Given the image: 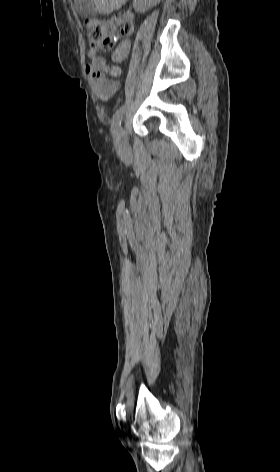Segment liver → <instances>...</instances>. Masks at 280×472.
<instances>
[{
	"label": "liver",
	"instance_id": "6515ba94",
	"mask_svg": "<svg viewBox=\"0 0 280 472\" xmlns=\"http://www.w3.org/2000/svg\"><path fill=\"white\" fill-rule=\"evenodd\" d=\"M127 0H93L96 12L109 15L119 10Z\"/></svg>",
	"mask_w": 280,
	"mask_h": 472
}]
</instances>
